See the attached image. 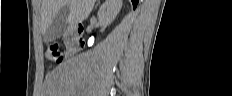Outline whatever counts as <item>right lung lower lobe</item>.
Instances as JSON below:
<instances>
[{
    "label": "right lung lower lobe",
    "mask_w": 232,
    "mask_h": 96,
    "mask_svg": "<svg viewBox=\"0 0 232 96\" xmlns=\"http://www.w3.org/2000/svg\"><path fill=\"white\" fill-rule=\"evenodd\" d=\"M133 3V7L135 8L137 6L138 0H131Z\"/></svg>",
    "instance_id": "98d812e1"
}]
</instances>
